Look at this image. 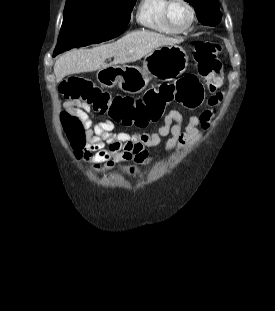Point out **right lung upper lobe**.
<instances>
[{"label":"right lung upper lobe","mask_w":275,"mask_h":311,"mask_svg":"<svg viewBox=\"0 0 275 311\" xmlns=\"http://www.w3.org/2000/svg\"><path fill=\"white\" fill-rule=\"evenodd\" d=\"M67 1H73V0H67ZM74 1H83V0H74Z\"/></svg>","instance_id":"right-lung-upper-lobe-1"}]
</instances>
